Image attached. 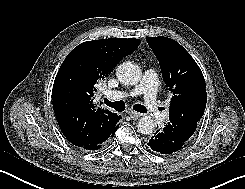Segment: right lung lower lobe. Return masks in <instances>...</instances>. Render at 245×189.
Listing matches in <instances>:
<instances>
[{
  "label": "right lung lower lobe",
  "instance_id": "98d812e1",
  "mask_svg": "<svg viewBox=\"0 0 245 189\" xmlns=\"http://www.w3.org/2000/svg\"><path fill=\"white\" fill-rule=\"evenodd\" d=\"M95 125H96V132L94 133L93 141L86 144H74V145L87 150H98L107 142L109 138L113 137L115 131L118 128V125H116L113 129H109L107 121L104 120L103 118L102 119L99 118L95 123Z\"/></svg>",
  "mask_w": 245,
  "mask_h": 189
}]
</instances>
